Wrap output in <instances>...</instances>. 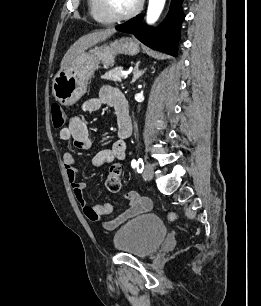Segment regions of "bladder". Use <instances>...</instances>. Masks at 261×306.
<instances>
[{"label":"bladder","mask_w":261,"mask_h":306,"mask_svg":"<svg viewBox=\"0 0 261 306\" xmlns=\"http://www.w3.org/2000/svg\"><path fill=\"white\" fill-rule=\"evenodd\" d=\"M167 235V227L156 215L144 214L122 225L113 237L116 250L145 258L153 254Z\"/></svg>","instance_id":"obj_1"}]
</instances>
